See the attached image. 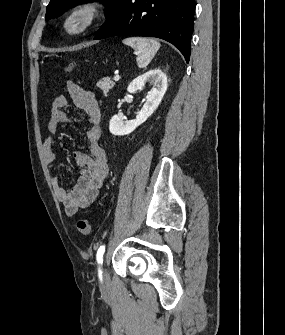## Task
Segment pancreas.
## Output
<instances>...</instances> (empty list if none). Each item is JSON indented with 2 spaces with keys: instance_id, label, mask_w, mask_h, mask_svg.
Masks as SVG:
<instances>
[{
  "instance_id": "1",
  "label": "pancreas",
  "mask_w": 285,
  "mask_h": 335,
  "mask_svg": "<svg viewBox=\"0 0 285 335\" xmlns=\"http://www.w3.org/2000/svg\"><path fill=\"white\" fill-rule=\"evenodd\" d=\"M96 86L100 88L101 92H103L104 96H107L108 92L112 90L113 86H115V82L111 80V78H102L97 82Z\"/></svg>"
}]
</instances>
